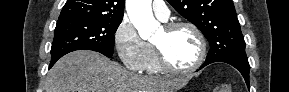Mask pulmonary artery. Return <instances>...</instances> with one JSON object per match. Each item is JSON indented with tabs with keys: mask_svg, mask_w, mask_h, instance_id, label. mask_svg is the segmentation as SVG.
Wrapping results in <instances>:
<instances>
[{
	"mask_svg": "<svg viewBox=\"0 0 289 92\" xmlns=\"http://www.w3.org/2000/svg\"><path fill=\"white\" fill-rule=\"evenodd\" d=\"M152 9L156 17L159 19L166 21L169 18L170 12L164 1L154 0L152 3Z\"/></svg>",
	"mask_w": 289,
	"mask_h": 92,
	"instance_id": "e3ab8cb5",
	"label": "pulmonary artery"
}]
</instances>
